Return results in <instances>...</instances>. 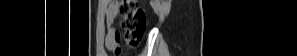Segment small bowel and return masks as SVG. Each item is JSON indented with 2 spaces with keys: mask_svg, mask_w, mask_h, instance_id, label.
I'll return each mask as SVG.
<instances>
[{
  "mask_svg": "<svg viewBox=\"0 0 297 56\" xmlns=\"http://www.w3.org/2000/svg\"><path fill=\"white\" fill-rule=\"evenodd\" d=\"M116 16V6L111 4L106 12L107 33L105 36V47L117 53L120 52L119 42L121 36L119 31L113 27Z\"/></svg>",
  "mask_w": 297,
  "mask_h": 56,
  "instance_id": "c3829d8e",
  "label": "small bowel"
}]
</instances>
